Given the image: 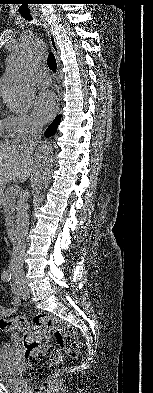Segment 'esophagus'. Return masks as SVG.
<instances>
[{"instance_id": "obj_1", "label": "esophagus", "mask_w": 153, "mask_h": 393, "mask_svg": "<svg viewBox=\"0 0 153 393\" xmlns=\"http://www.w3.org/2000/svg\"><path fill=\"white\" fill-rule=\"evenodd\" d=\"M44 27H45V29L47 31L52 51H53L54 55L56 56L57 62L59 63V49H58V46L56 44V39H55V37H54V35H53L49 25L44 23Z\"/></svg>"}]
</instances>
